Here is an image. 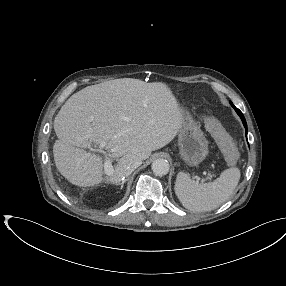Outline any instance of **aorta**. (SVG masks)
Here are the masks:
<instances>
[{
  "mask_svg": "<svg viewBox=\"0 0 286 286\" xmlns=\"http://www.w3.org/2000/svg\"><path fill=\"white\" fill-rule=\"evenodd\" d=\"M151 168L155 175L163 176L168 174L170 166L167 160L158 158L153 161Z\"/></svg>",
  "mask_w": 286,
  "mask_h": 286,
  "instance_id": "762f6f07",
  "label": "aorta"
}]
</instances>
